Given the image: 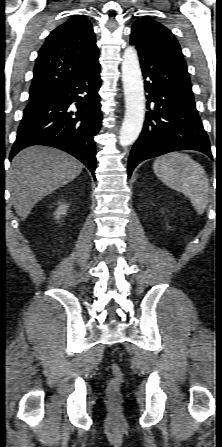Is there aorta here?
I'll return each instance as SVG.
<instances>
[{
	"label": "aorta",
	"mask_w": 222,
	"mask_h": 447,
	"mask_svg": "<svg viewBox=\"0 0 222 447\" xmlns=\"http://www.w3.org/2000/svg\"><path fill=\"white\" fill-rule=\"evenodd\" d=\"M122 81L125 96V115L120 129L121 146L131 145L138 138L145 116V96L137 51L129 46L123 53Z\"/></svg>",
	"instance_id": "aorta-1"
}]
</instances>
